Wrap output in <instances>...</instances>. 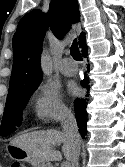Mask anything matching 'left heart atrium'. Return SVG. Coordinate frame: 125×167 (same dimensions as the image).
<instances>
[{"mask_svg":"<svg viewBox=\"0 0 125 167\" xmlns=\"http://www.w3.org/2000/svg\"><path fill=\"white\" fill-rule=\"evenodd\" d=\"M70 92H71L73 95H77L78 92H79V89H78V87H77L76 85H72V86L70 87Z\"/></svg>","mask_w":125,"mask_h":167,"instance_id":"left-heart-atrium-1","label":"left heart atrium"}]
</instances>
